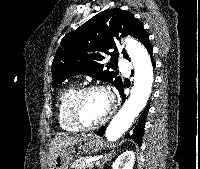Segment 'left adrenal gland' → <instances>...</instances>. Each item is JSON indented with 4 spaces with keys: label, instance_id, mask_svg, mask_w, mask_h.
I'll return each instance as SVG.
<instances>
[{
    "label": "left adrenal gland",
    "instance_id": "obj_1",
    "mask_svg": "<svg viewBox=\"0 0 200 169\" xmlns=\"http://www.w3.org/2000/svg\"><path fill=\"white\" fill-rule=\"evenodd\" d=\"M115 154H116L115 152L105 154V155H104V158L101 160V164H100L99 168H100V169H103L104 164H105L107 161H110V160L112 159V157H113Z\"/></svg>",
    "mask_w": 200,
    "mask_h": 169
}]
</instances>
